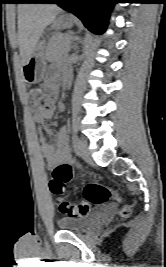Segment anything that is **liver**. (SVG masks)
<instances>
[{
    "label": "liver",
    "instance_id": "1",
    "mask_svg": "<svg viewBox=\"0 0 166 267\" xmlns=\"http://www.w3.org/2000/svg\"><path fill=\"white\" fill-rule=\"evenodd\" d=\"M61 9L51 4L18 5V45L22 63L35 49L45 28L53 23Z\"/></svg>",
    "mask_w": 166,
    "mask_h": 267
}]
</instances>
